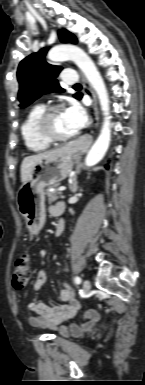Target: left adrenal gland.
<instances>
[{
    "label": "left adrenal gland",
    "mask_w": 145,
    "mask_h": 385,
    "mask_svg": "<svg viewBox=\"0 0 145 385\" xmlns=\"http://www.w3.org/2000/svg\"><path fill=\"white\" fill-rule=\"evenodd\" d=\"M70 190H71V192H72L73 194L77 192V190H78L77 176H75V177L73 178V181H72V183H71V185H70Z\"/></svg>",
    "instance_id": "left-adrenal-gland-1"
}]
</instances>
